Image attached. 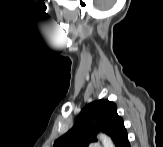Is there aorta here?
<instances>
[{
    "mask_svg": "<svg viewBox=\"0 0 163 147\" xmlns=\"http://www.w3.org/2000/svg\"><path fill=\"white\" fill-rule=\"evenodd\" d=\"M99 139L102 142L104 147H114V143L110 137L105 134H99Z\"/></svg>",
    "mask_w": 163,
    "mask_h": 147,
    "instance_id": "762f6f07",
    "label": "aorta"
}]
</instances>
